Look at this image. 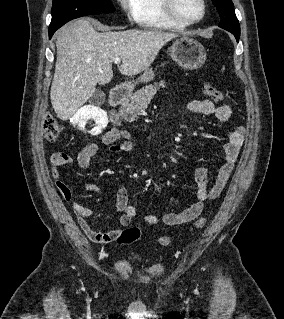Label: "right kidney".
Wrapping results in <instances>:
<instances>
[{
    "label": "right kidney",
    "instance_id": "obj_1",
    "mask_svg": "<svg viewBox=\"0 0 284 319\" xmlns=\"http://www.w3.org/2000/svg\"><path fill=\"white\" fill-rule=\"evenodd\" d=\"M89 119L95 120L96 127L94 130L97 133H101L108 123L107 114L102 109L91 105L80 108L74 115L72 122L77 123L80 129H84Z\"/></svg>",
    "mask_w": 284,
    "mask_h": 319
}]
</instances>
